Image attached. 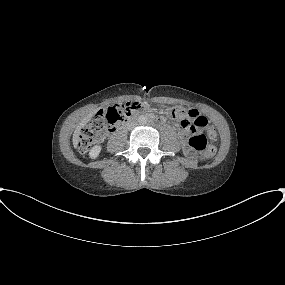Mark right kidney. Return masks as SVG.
<instances>
[{"mask_svg": "<svg viewBox=\"0 0 285 285\" xmlns=\"http://www.w3.org/2000/svg\"><path fill=\"white\" fill-rule=\"evenodd\" d=\"M100 152H101V146L96 145V146H94V147L90 150L89 155H90L91 158L95 159V158L98 157V155H99Z\"/></svg>", "mask_w": 285, "mask_h": 285, "instance_id": "right-kidney-1", "label": "right kidney"}]
</instances>
